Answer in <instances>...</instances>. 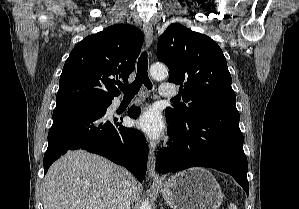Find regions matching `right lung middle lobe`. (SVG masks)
Here are the masks:
<instances>
[{"label":"right lung middle lobe","mask_w":299,"mask_h":209,"mask_svg":"<svg viewBox=\"0 0 299 209\" xmlns=\"http://www.w3.org/2000/svg\"><path fill=\"white\" fill-rule=\"evenodd\" d=\"M86 103H89V104H97V105H99V107H101V108H104V107L108 104V102H101V103H96V102H86Z\"/></svg>","instance_id":"1"}]
</instances>
